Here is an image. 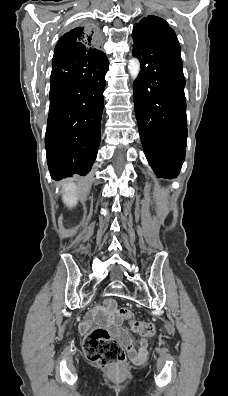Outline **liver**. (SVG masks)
Here are the masks:
<instances>
[{
	"label": "liver",
	"instance_id": "6515ba94",
	"mask_svg": "<svg viewBox=\"0 0 228 396\" xmlns=\"http://www.w3.org/2000/svg\"><path fill=\"white\" fill-rule=\"evenodd\" d=\"M63 201L72 208L77 204L76 186L73 182H64L62 185Z\"/></svg>",
	"mask_w": 228,
	"mask_h": 396
}]
</instances>
